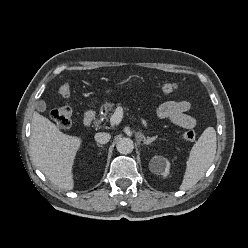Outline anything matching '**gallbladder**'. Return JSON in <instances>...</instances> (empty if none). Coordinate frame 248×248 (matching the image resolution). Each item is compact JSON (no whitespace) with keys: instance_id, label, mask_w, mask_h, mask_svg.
I'll return each instance as SVG.
<instances>
[{"instance_id":"1","label":"gallbladder","mask_w":248,"mask_h":248,"mask_svg":"<svg viewBox=\"0 0 248 248\" xmlns=\"http://www.w3.org/2000/svg\"><path fill=\"white\" fill-rule=\"evenodd\" d=\"M36 109L39 112H44L46 110V103L44 101H38L36 103Z\"/></svg>"}]
</instances>
